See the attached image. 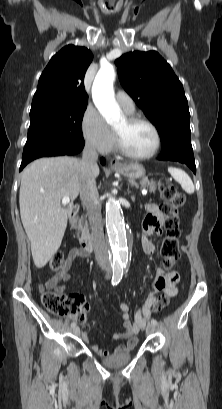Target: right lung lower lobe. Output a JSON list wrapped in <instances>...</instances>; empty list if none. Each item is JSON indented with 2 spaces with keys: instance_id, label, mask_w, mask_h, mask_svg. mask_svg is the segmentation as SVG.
Instances as JSON below:
<instances>
[{
  "instance_id": "1",
  "label": "right lung lower lobe",
  "mask_w": 222,
  "mask_h": 409,
  "mask_svg": "<svg viewBox=\"0 0 222 409\" xmlns=\"http://www.w3.org/2000/svg\"><path fill=\"white\" fill-rule=\"evenodd\" d=\"M83 147H84V145H83L82 147H80V148L75 149L73 152L67 153V154H46V155H38V156H33V157H30V158H27V159H23V160H22V163H21V166H20V171H21L29 162H31V161L34 160V159H37V158H40V157L57 156V155H74V154H77V153L81 152V150L83 149ZM100 161H101V163H102L103 165L105 164V159L101 158Z\"/></svg>"
}]
</instances>
